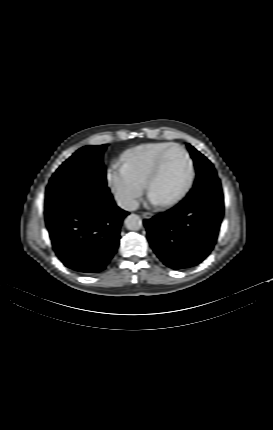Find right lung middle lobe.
<instances>
[{
  "label": "right lung middle lobe",
  "mask_w": 273,
  "mask_h": 430,
  "mask_svg": "<svg viewBox=\"0 0 273 430\" xmlns=\"http://www.w3.org/2000/svg\"><path fill=\"white\" fill-rule=\"evenodd\" d=\"M106 146L83 147L59 167L46 189L45 209L82 195H110L102 162Z\"/></svg>",
  "instance_id": "right-lung-middle-lobe-1"
}]
</instances>
